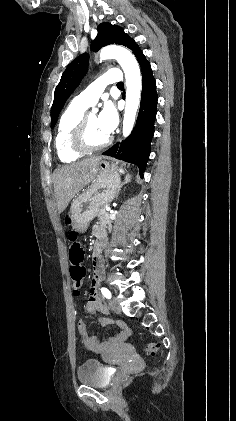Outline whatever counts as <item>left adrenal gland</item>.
<instances>
[{"label":"left adrenal gland","mask_w":236,"mask_h":421,"mask_svg":"<svg viewBox=\"0 0 236 421\" xmlns=\"http://www.w3.org/2000/svg\"><path fill=\"white\" fill-rule=\"evenodd\" d=\"M130 180H131V174H126V176L124 178V182H122V184H120V186H123V184H126V182H130ZM119 190H121V188H118L117 194H118ZM117 194H116V196H117Z\"/></svg>","instance_id":"left-adrenal-gland-1"}]
</instances>
